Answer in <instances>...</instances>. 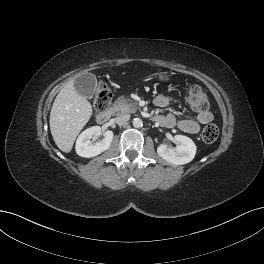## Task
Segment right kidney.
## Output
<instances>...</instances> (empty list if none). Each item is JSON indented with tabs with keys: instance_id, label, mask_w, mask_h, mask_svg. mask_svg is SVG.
<instances>
[{
	"instance_id": "ca27d5eb",
	"label": "right kidney",
	"mask_w": 264,
	"mask_h": 264,
	"mask_svg": "<svg viewBox=\"0 0 264 264\" xmlns=\"http://www.w3.org/2000/svg\"><path fill=\"white\" fill-rule=\"evenodd\" d=\"M100 134V126H93L84 130L77 138L76 153L81 157L91 158L109 149L114 136L113 132L110 130L106 131L102 141L92 144L91 139Z\"/></svg>"
}]
</instances>
